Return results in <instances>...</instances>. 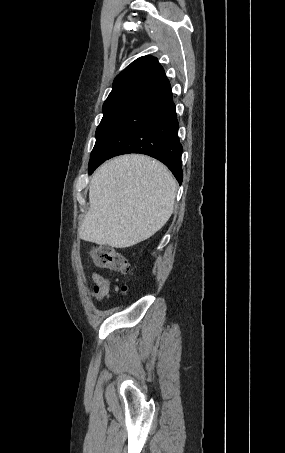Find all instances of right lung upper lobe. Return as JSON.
Listing matches in <instances>:
<instances>
[{"instance_id": "obj_1", "label": "right lung upper lobe", "mask_w": 285, "mask_h": 453, "mask_svg": "<svg viewBox=\"0 0 285 453\" xmlns=\"http://www.w3.org/2000/svg\"><path fill=\"white\" fill-rule=\"evenodd\" d=\"M164 73V69L153 56H143L136 59L119 73L113 82V89L105 102L130 97L148 81Z\"/></svg>"}]
</instances>
